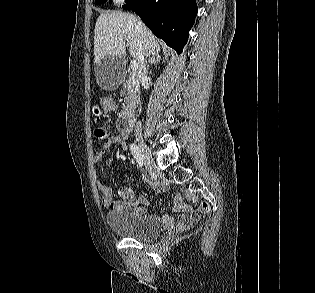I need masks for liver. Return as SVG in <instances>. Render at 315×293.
I'll return each mask as SVG.
<instances>
[{"label":"liver","instance_id":"obj_1","mask_svg":"<svg viewBox=\"0 0 315 293\" xmlns=\"http://www.w3.org/2000/svg\"><path fill=\"white\" fill-rule=\"evenodd\" d=\"M129 49L130 56L139 63L143 57L159 55L160 47L153 33L143 26L137 31V18L125 12L100 14L94 30V56L97 63L107 55L121 58Z\"/></svg>","mask_w":315,"mask_h":293}]
</instances>
